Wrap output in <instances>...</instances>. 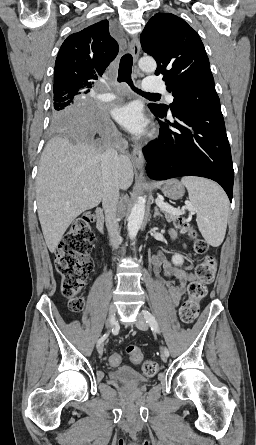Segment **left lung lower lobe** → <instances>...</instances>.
Returning a JSON list of instances; mask_svg holds the SVG:
<instances>
[{
    "instance_id": "left-lung-lower-lobe-1",
    "label": "left lung lower lobe",
    "mask_w": 256,
    "mask_h": 445,
    "mask_svg": "<svg viewBox=\"0 0 256 445\" xmlns=\"http://www.w3.org/2000/svg\"><path fill=\"white\" fill-rule=\"evenodd\" d=\"M150 110L163 121L160 139L143 148L148 176L155 180L206 177L218 182L232 201L234 170L221 109L178 104L172 121Z\"/></svg>"
}]
</instances>
